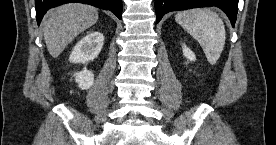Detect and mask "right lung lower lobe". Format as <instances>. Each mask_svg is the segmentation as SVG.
I'll return each instance as SVG.
<instances>
[{"instance_id":"1","label":"right lung lower lobe","mask_w":276,"mask_h":145,"mask_svg":"<svg viewBox=\"0 0 276 145\" xmlns=\"http://www.w3.org/2000/svg\"><path fill=\"white\" fill-rule=\"evenodd\" d=\"M70 2H80L112 11L119 19L122 15V0H35L36 19L40 24L46 11L52 7Z\"/></svg>"}]
</instances>
